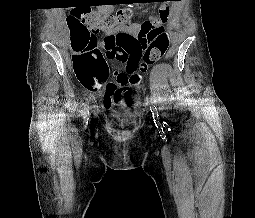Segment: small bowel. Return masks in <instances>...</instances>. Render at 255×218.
I'll return each mask as SVG.
<instances>
[{"label":"small bowel","mask_w":255,"mask_h":218,"mask_svg":"<svg viewBox=\"0 0 255 218\" xmlns=\"http://www.w3.org/2000/svg\"><path fill=\"white\" fill-rule=\"evenodd\" d=\"M162 11H166V16H167V14H168V7L166 5H161L159 7V11H158L159 12V16L158 17L150 16V20L152 22H154V23L161 24L164 21V19L166 18V17L165 18H161L160 17V12H162ZM139 28H140V25H132V26H129V27L120 28L117 32H125V33H129V34H135L138 31ZM115 35H116V32H113V31L105 32L104 36L99 41V46L101 48L105 49L106 48L107 40L109 38L114 37ZM122 96H125V95L124 94H119V95L115 96V100L116 99L120 100L122 98ZM110 104H111V99L110 98H106L105 99V106L108 107ZM127 105H129V104H127Z\"/></svg>","instance_id":"c3829d8e"}]
</instances>
